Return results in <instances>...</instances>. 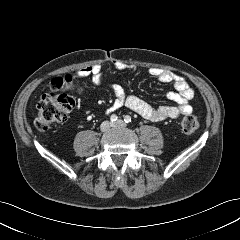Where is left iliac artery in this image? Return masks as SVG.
Listing matches in <instances>:
<instances>
[{"mask_svg":"<svg viewBox=\"0 0 240 240\" xmlns=\"http://www.w3.org/2000/svg\"><path fill=\"white\" fill-rule=\"evenodd\" d=\"M124 121H125V123H130L131 122V117L130 116H125L124 117Z\"/></svg>","mask_w":240,"mask_h":240,"instance_id":"44dca946","label":"left iliac artery"}]
</instances>
